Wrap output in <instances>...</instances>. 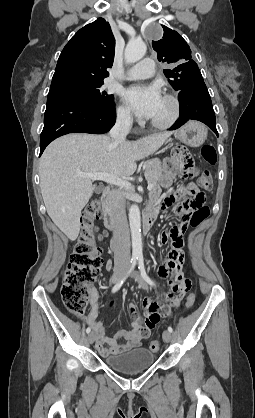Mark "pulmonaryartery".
Listing matches in <instances>:
<instances>
[{"instance_id":"pulmonary-artery-1","label":"pulmonary artery","mask_w":255,"mask_h":418,"mask_svg":"<svg viewBox=\"0 0 255 418\" xmlns=\"http://www.w3.org/2000/svg\"><path fill=\"white\" fill-rule=\"evenodd\" d=\"M154 72V61L151 58H144L139 63L127 70L123 78L126 80L145 79L153 76Z\"/></svg>"}]
</instances>
